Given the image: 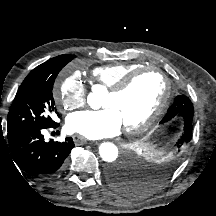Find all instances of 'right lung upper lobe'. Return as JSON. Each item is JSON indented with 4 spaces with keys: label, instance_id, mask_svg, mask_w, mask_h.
<instances>
[{
    "label": "right lung upper lobe",
    "instance_id": "cb5924a9",
    "mask_svg": "<svg viewBox=\"0 0 216 216\" xmlns=\"http://www.w3.org/2000/svg\"><path fill=\"white\" fill-rule=\"evenodd\" d=\"M47 64H48V61L44 62L43 64H41V65H39V66H37L35 69H33V70L30 72V74H29L28 76H31V75H33V74H35V73L40 72L41 70H43V69L46 67Z\"/></svg>",
    "mask_w": 216,
    "mask_h": 216
}]
</instances>
